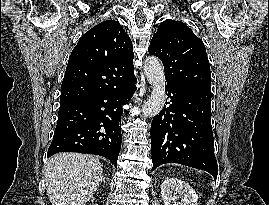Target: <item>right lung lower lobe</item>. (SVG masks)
Here are the masks:
<instances>
[{"instance_id": "98d812e1", "label": "right lung lower lobe", "mask_w": 269, "mask_h": 205, "mask_svg": "<svg viewBox=\"0 0 269 205\" xmlns=\"http://www.w3.org/2000/svg\"><path fill=\"white\" fill-rule=\"evenodd\" d=\"M133 71L116 88L60 101L57 126L48 149L50 157L58 152L95 154L117 167L121 149L122 106L136 90Z\"/></svg>"}]
</instances>
